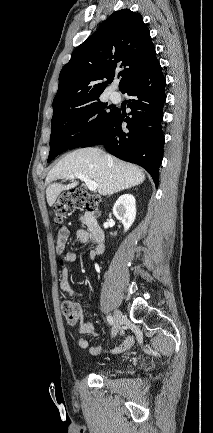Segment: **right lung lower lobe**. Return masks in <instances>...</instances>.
Masks as SVG:
<instances>
[{
    "instance_id": "1",
    "label": "right lung lower lobe",
    "mask_w": 213,
    "mask_h": 433,
    "mask_svg": "<svg viewBox=\"0 0 213 433\" xmlns=\"http://www.w3.org/2000/svg\"><path fill=\"white\" fill-rule=\"evenodd\" d=\"M166 81L155 58L139 75L121 90L132 97L129 116L115 110L108 125L79 147L104 144L112 155L145 168L158 185L159 166L163 157L164 135L161 129ZM126 122L125 128L121 127Z\"/></svg>"
}]
</instances>
